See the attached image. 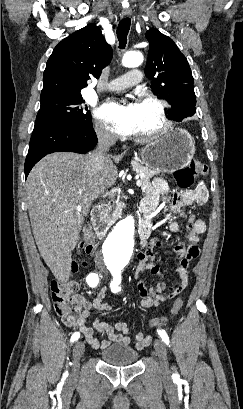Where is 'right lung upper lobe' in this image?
Listing matches in <instances>:
<instances>
[{
	"label": "right lung upper lobe",
	"instance_id": "cb5924a9",
	"mask_svg": "<svg viewBox=\"0 0 243 409\" xmlns=\"http://www.w3.org/2000/svg\"><path fill=\"white\" fill-rule=\"evenodd\" d=\"M112 59V48L95 24L74 32L54 48L43 76L41 101L80 94Z\"/></svg>",
	"mask_w": 243,
	"mask_h": 409
}]
</instances>
